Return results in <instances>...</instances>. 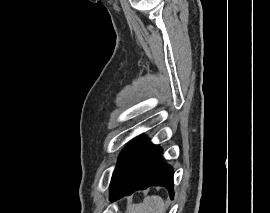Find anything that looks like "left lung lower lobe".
<instances>
[{"mask_svg": "<svg viewBox=\"0 0 270 213\" xmlns=\"http://www.w3.org/2000/svg\"><path fill=\"white\" fill-rule=\"evenodd\" d=\"M162 150L138 137L119 156L110 183L112 201L149 186H165L173 198V168L161 160Z\"/></svg>", "mask_w": 270, "mask_h": 213, "instance_id": "left-lung-lower-lobe-1", "label": "left lung lower lobe"}]
</instances>
